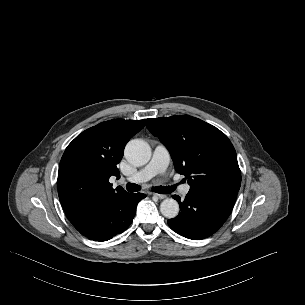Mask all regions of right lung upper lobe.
Masks as SVG:
<instances>
[{"mask_svg":"<svg viewBox=\"0 0 305 305\" xmlns=\"http://www.w3.org/2000/svg\"><path fill=\"white\" fill-rule=\"evenodd\" d=\"M145 120L113 119L79 134L66 148L59 165L58 195L65 211L125 193L114 190L110 176H119L127 142L144 127Z\"/></svg>","mask_w":305,"mask_h":305,"instance_id":"right-lung-upper-lobe-1","label":"right lung upper lobe"}]
</instances>
